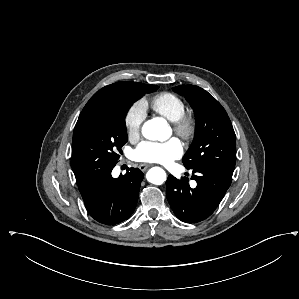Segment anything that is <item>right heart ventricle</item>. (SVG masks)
<instances>
[{
    "label": "right heart ventricle",
    "mask_w": 299,
    "mask_h": 299,
    "mask_svg": "<svg viewBox=\"0 0 299 299\" xmlns=\"http://www.w3.org/2000/svg\"><path fill=\"white\" fill-rule=\"evenodd\" d=\"M150 107L171 122L185 113V103L172 92H161L150 100Z\"/></svg>",
    "instance_id": "obj_1"
}]
</instances>
